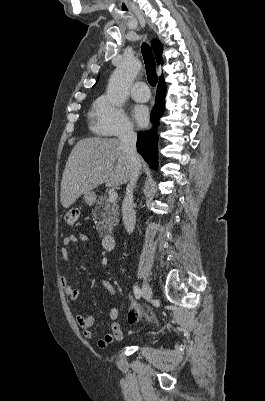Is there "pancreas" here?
I'll use <instances>...</instances> for the list:
<instances>
[{
	"label": "pancreas",
	"mask_w": 265,
	"mask_h": 401,
	"mask_svg": "<svg viewBox=\"0 0 265 401\" xmlns=\"http://www.w3.org/2000/svg\"><path fill=\"white\" fill-rule=\"evenodd\" d=\"M91 215L98 219L99 237H105L107 233H111L115 225L119 223V207L116 205V201H110L107 194L99 196Z\"/></svg>",
	"instance_id": "pancreas-1"
}]
</instances>
